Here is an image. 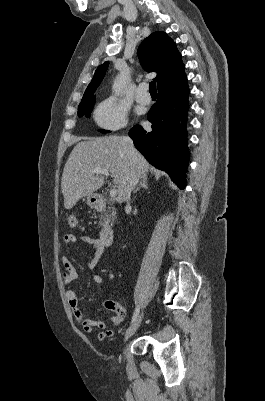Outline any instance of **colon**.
Returning <instances> with one entry per match:
<instances>
[{"label": "colon", "instance_id": "1", "mask_svg": "<svg viewBox=\"0 0 265 401\" xmlns=\"http://www.w3.org/2000/svg\"><path fill=\"white\" fill-rule=\"evenodd\" d=\"M67 225L71 229L75 228L77 226V217L75 215H69L67 218ZM109 306L112 308L114 304L110 303Z\"/></svg>", "mask_w": 265, "mask_h": 401}]
</instances>
